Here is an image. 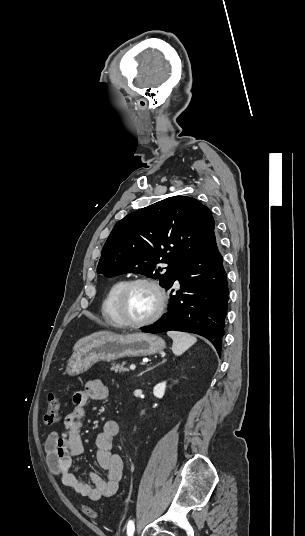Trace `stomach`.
I'll list each match as a JSON object with an SVG mask.
<instances>
[{
	"mask_svg": "<svg viewBox=\"0 0 305 536\" xmlns=\"http://www.w3.org/2000/svg\"><path fill=\"white\" fill-rule=\"evenodd\" d=\"M166 348L164 340L151 334H103L73 352L67 362L66 374L78 376L96 362H111L126 356H153Z\"/></svg>",
	"mask_w": 305,
	"mask_h": 536,
	"instance_id": "stomach-1",
	"label": "stomach"
}]
</instances>
